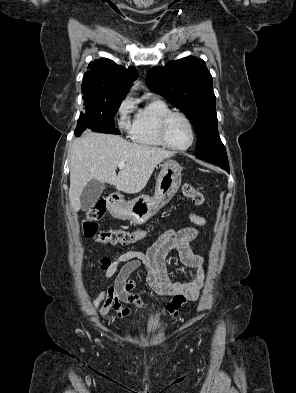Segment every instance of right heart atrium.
<instances>
[{"label": "right heart atrium", "mask_w": 296, "mask_h": 393, "mask_svg": "<svg viewBox=\"0 0 296 393\" xmlns=\"http://www.w3.org/2000/svg\"><path fill=\"white\" fill-rule=\"evenodd\" d=\"M133 107V103L130 99L123 100L117 109L118 123L122 130L126 132H131L130 125V113Z\"/></svg>", "instance_id": "obj_1"}]
</instances>
